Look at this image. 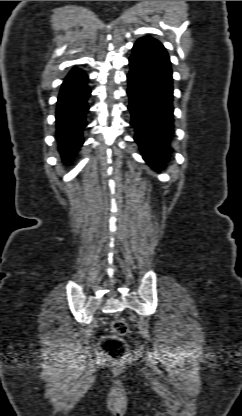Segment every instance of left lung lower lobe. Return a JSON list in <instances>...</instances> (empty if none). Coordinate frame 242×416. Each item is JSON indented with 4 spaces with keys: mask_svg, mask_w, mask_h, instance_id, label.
I'll use <instances>...</instances> for the list:
<instances>
[{
    "mask_svg": "<svg viewBox=\"0 0 242 416\" xmlns=\"http://www.w3.org/2000/svg\"><path fill=\"white\" fill-rule=\"evenodd\" d=\"M127 94L134 140L155 171L169 160L174 131L172 70L163 45L146 36L133 46Z\"/></svg>",
    "mask_w": 242,
    "mask_h": 416,
    "instance_id": "1",
    "label": "left lung lower lobe"
}]
</instances>
